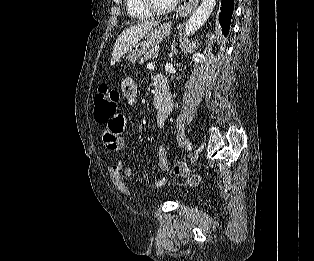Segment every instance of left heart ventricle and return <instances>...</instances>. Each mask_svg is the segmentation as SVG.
<instances>
[{
	"label": "left heart ventricle",
	"instance_id": "obj_1",
	"mask_svg": "<svg viewBox=\"0 0 314 261\" xmlns=\"http://www.w3.org/2000/svg\"><path fill=\"white\" fill-rule=\"evenodd\" d=\"M154 4L158 7H166L168 6L173 0H153Z\"/></svg>",
	"mask_w": 314,
	"mask_h": 261
}]
</instances>
